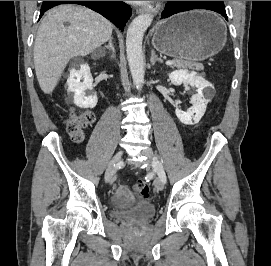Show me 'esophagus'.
Segmentation results:
<instances>
[{"label":"esophagus","instance_id":"1","mask_svg":"<svg viewBox=\"0 0 271 266\" xmlns=\"http://www.w3.org/2000/svg\"><path fill=\"white\" fill-rule=\"evenodd\" d=\"M158 10H159V5L153 4L147 7H142L137 12L139 14L150 13L152 15H156L158 13Z\"/></svg>","mask_w":271,"mask_h":266}]
</instances>
